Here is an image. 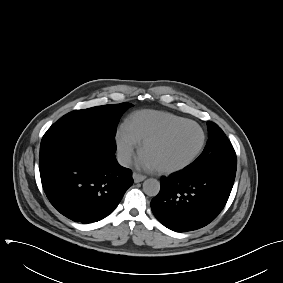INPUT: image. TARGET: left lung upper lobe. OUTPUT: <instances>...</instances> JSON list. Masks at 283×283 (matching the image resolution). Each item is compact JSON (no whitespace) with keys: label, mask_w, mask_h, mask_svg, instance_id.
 <instances>
[{"label":"left lung upper lobe","mask_w":283,"mask_h":283,"mask_svg":"<svg viewBox=\"0 0 283 283\" xmlns=\"http://www.w3.org/2000/svg\"><path fill=\"white\" fill-rule=\"evenodd\" d=\"M207 125L206 147L186 169L191 171L218 170L236 174L237 158L230 141L217 124L208 121Z\"/></svg>","instance_id":"obj_1"}]
</instances>
